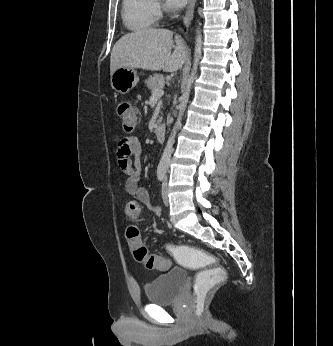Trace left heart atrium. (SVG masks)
Here are the masks:
<instances>
[{
  "mask_svg": "<svg viewBox=\"0 0 333 346\" xmlns=\"http://www.w3.org/2000/svg\"><path fill=\"white\" fill-rule=\"evenodd\" d=\"M188 0H166V4L169 8L178 9L183 7Z\"/></svg>",
  "mask_w": 333,
  "mask_h": 346,
  "instance_id": "obj_1",
  "label": "left heart atrium"
}]
</instances>
